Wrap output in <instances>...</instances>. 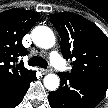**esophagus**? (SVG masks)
I'll use <instances>...</instances> for the list:
<instances>
[{
    "mask_svg": "<svg viewBox=\"0 0 108 108\" xmlns=\"http://www.w3.org/2000/svg\"><path fill=\"white\" fill-rule=\"evenodd\" d=\"M41 72L44 73V74H46V73H49L50 70H49V69H44V68H42V69H41Z\"/></svg>",
    "mask_w": 108,
    "mask_h": 108,
    "instance_id": "34e87169",
    "label": "esophagus"
}]
</instances>
